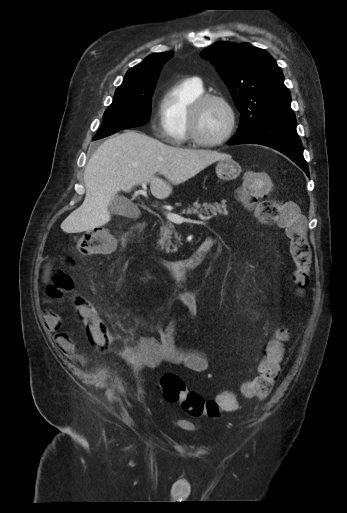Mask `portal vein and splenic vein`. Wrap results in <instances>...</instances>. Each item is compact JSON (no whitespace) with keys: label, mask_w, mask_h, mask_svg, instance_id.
I'll list each match as a JSON object with an SVG mask.
<instances>
[{"label":"portal vein and splenic vein","mask_w":347,"mask_h":513,"mask_svg":"<svg viewBox=\"0 0 347 513\" xmlns=\"http://www.w3.org/2000/svg\"><path fill=\"white\" fill-rule=\"evenodd\" d=\"M141 186H142V194L145 195L146 194V189H147V186H146V183L143 182L141 183ZM165 215L167 217V219L173 223H176V224H181L183 222H190V223H197V224H206V221L208 219H210V217H205L203 218V220H191V219H187V218H184L178 214H175L173 212H165Z\"/></svg>","instance_id":"obj_1"}]
</instances>
